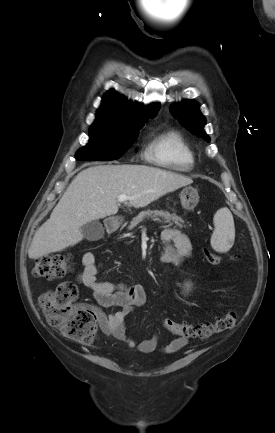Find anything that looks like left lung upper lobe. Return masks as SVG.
Returning a JSON list of instances; mask_svg holds the SVG:
<instances>
[{
	"label": "left lung upper lobe",
	"mask_w": 275,
	"mask_h": 433,
	"mask_svg": "<svg viewBox=\"0 0 275 433\" xmlns=\"http://www.w3.org/2000/svg\"><path fill=\"white\" fill-rule=\"evenodd\" d=\"M171 114L178 118L180 123L188 130L202 137L206 141H210L208 135L204 132L205 118L199 112L198 105L192 102L179 103L170 109Z\"/></svg>",
	"instance_id": "1"
}]
</instances>
